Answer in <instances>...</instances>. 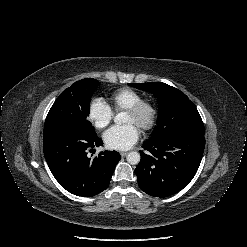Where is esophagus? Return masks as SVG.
Segmentation results:
<instances>
[{
    "mask_svg": "<svg viewBox=\"0 0 247 247\" xmlns=\"http://www.w3.org/2000/svg\"><path fill=\"white\" fill-rule=\"evenodd\" d=\"M127 154H128L127 152H120V155H121L122 157H125Z\"/></svg>",
    "mask_w": 247,
    "mask_h": 247,
    "instance_id": "obj_1",
    "label": "esophagus"
}]
</instances>
